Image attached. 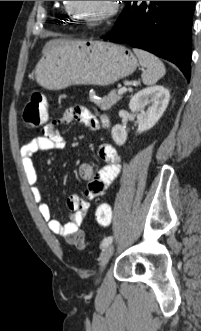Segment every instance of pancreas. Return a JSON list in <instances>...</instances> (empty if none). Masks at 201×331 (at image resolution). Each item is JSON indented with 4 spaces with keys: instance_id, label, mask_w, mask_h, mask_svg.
Wrapping results in <instances>:
<instances>
[{
    "instance_id": "pancreas-1",
    "label": "pancreas",
    "mask_w": 201,
    "mask_h": 331,
    "mask_svg": "<svg viewBox=\"0 0 201 331\" xmlns=\"http://www.w3.org/2000/svg\"><path fill=\"white\" fill-rule=\"evenodd\" d=\"M90 100L101 107L103 110L110 109L114 104L121 100V94L117 93V90H111L107 96L101 99H94L95 93H90Z\"/></svg>"
}]
</instances>
